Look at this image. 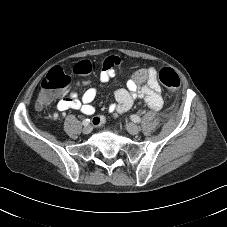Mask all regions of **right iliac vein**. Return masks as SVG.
<instances>
[{"label": "right iliac vein", "mask_w": 227, "mask_h": 227, "mask_svg": "<svg viewBox=\"0 0 227 227\" xmlns=\"http://www.w3.org/2000/svg\"><path fill=\"white\" fill-rule=\"evenodd\" d=\"M91 131H92V126L91 125L84 126V128H83V133L84 134H89V133H91Z\"/></svg>", "instance_id": "1"}]
</instances>
